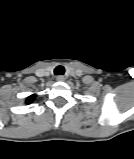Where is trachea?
Wrapping results in <instances>:
<instances>
[{
    "label": "trachea",
    "mask_w": 134,
    "mask_h": 159,
    "mask_svg": "<svg viewBox=\"0 0 134 159\" xmlns=\"http://www.w3.org/2000/svg\"><path fill=\"white\" fill-rule=\"evenodd\" d=\"M65 73V68L61 65L57 66L55 69H54V74L55 75H63Z\"/></svg>",
    "instance_id": "trachea-1"
}]
</instances>
